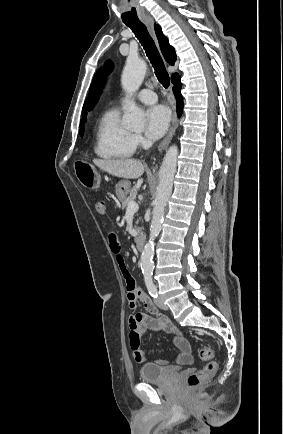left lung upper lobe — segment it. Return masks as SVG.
Listing matches in <instances>:
<instances>
[{"label": "left lung upper lobe", "instance_id": "5c2ea615", "mask_svg": "<svg viewBox=\"0 0 283 434\" xmlns=\"http://www.w3.org/2000/svg\"><path fill=\"white\" fill-rule=\"evenodd\" d=\"M112 68H113L112 62L111 61H107L105 63V65H104L103 69L99 70V73L97 74L98 77H100L102 75L109 74L111 72ZM91 90H95V82H92V84H91ZM100 90H101L100 87H98L96 89V92L93 93V97H92V99L90 101V105H89V110H91L94 107L95 103L97 102L96 95H98L100 93Z\"/></svg>", "mask_w": 283, "mask_h": 434}]
</instances>
